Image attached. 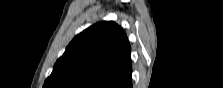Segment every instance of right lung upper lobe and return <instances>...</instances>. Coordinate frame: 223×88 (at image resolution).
I'll list each match as a JSON object with an SVG mask.
<instances>
[{
    "mask_svg": "<svg viewBox=\"0 0 223 88\" xmlns=\"http://www.w3.org/2000/svg\"><path fill=\"white\" fill-rule=\"evenodd\" d=\"M131 48L112 21L96 23L70 42L44 88H132Z\"/></svg>",
    "mask_w": 223,
    "mask_h": 88,
    "instance_id": "right-lung-upper-lobe-1",
    "label": "right lung upper lobe"
}]
</instances>
